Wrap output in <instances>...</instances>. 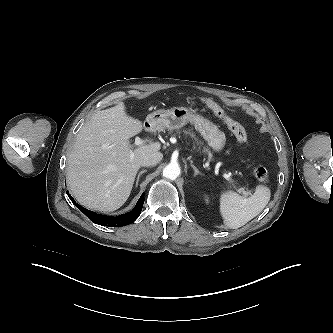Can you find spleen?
Returning <instances> with one entry per match:
<instances>
[{"label":"spleen","instance_id":"1","mask_svg":"<svg viewBox=\"0 0 333 333\" xmlns=\"http://www.w3.org/2000/svg\"><path fill=\"white\" fill-rule=\"evenodd\" d=\"M270 189L259 185L255 193L244 198L233 191L223 192L220 196V213L227 228L237 229L256 217L270 200Z\"/></svg>","mask_w":333,"mask_h":333}]
</instances>
